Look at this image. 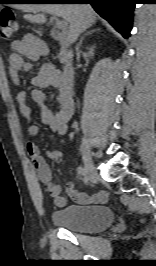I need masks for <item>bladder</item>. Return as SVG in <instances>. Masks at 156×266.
I'll list each match as a JSON object with an SVG mask.
<instances>
[{
  "label": "bladder",
  "instance_id": "obj_1",
  "mask_svg": "<svg viewBox=\"0 0 156 266\" xmlns=\"http://www.w3.org/2000/svg\"><path fill=\"white\" fill-rule=\"evenodd\" d=\"M55 225L74 232L93 233L114 223L113 212L105 206L69 205L52 213Z\"/></svg>",
  "mask_w": 156,
  "mask_h": 266
}]
</instances>
